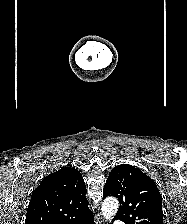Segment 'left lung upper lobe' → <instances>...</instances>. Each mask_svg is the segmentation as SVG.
<instances>
[{"mask_svg": "<svg viewBox=\"0 0 187 224\" xmlns=\"http://www.w3.org/2000/svg\"><path fill=\"white\" fill-rule=\"evenodd\" d=\"M107 196L119 199L115 218L125 224H163L161 194L140 169L129 164L114 167L103 190V199Z\"/></svg>", "mask_w": 187, "mask_h": 224, "instance_id": "obj_1", "label": "left lung upper lobe"}]
</instances>
